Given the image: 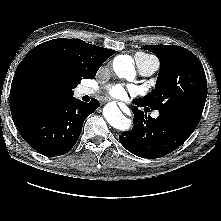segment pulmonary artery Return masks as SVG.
Listing matches in <instances>:
<instances>
[{
    "label": "pulmonary artery",
    "mask_w": 221,
    "mask_h": 221,
    "mask_svg": "<svg viewBox=\"0 0 221 221\" xmlns=\"http://www.w3.org/2000/svg\"><path fill=\"white\" fill-rule=\"evenodd\" d=\"M135 63L139 74L145 77L151 76L158 69V61L154 57L143 58L137 54L135 56ZM80 92L81 94L88 95L95 93V90L90 88H82ZM154 116H157V113H155Z\"/></svg>",
    "instance_id": "e3ab8cb5"
}]
</instances>
